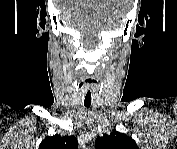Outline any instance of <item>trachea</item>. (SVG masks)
<instances>
[{
  "mask_svg": "<svg viewBox=\"0 0 177 149\" xmlns=\"http://www.w3.org/2000/svg\"><path fill=\"white\" fill-rule=\"evenodd\" d=\"M87 97L90 98V102L84 101V106L87 107V108H89L91 106V93L90 92L85 95V99Z\"/></svg>",
  "mask_w": 177,
  "mask_h": 149,
  "instance_id": "obj_1",
  "label": "trachea"
}]
</instances>
